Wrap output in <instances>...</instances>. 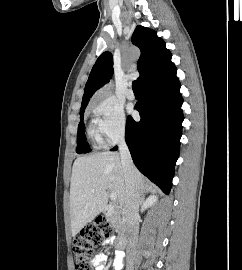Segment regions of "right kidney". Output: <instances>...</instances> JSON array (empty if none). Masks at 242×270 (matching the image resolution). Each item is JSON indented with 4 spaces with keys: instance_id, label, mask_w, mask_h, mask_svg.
<instances>
[{
    "instance_id": "obj_1",
    "label": "right kidney",
    "mask_w": 242,
    "mask_h": 270,
    "mask_svg": "<svg viewBox=\"0 0 242 270\" xmlns=\"http://www.w3.org/2000/svg\"><path fill=\"white\" fill-rule=\"evenodd\" d=\"M157 202V196L151 195L149 196L142 205V211L146 210L147 208L153 206Z\"/></svg>"
}]
</instances>
